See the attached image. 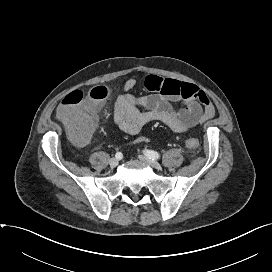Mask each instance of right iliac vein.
<instances>
[{"label":"right iliac vein","instance_id":"right-iliac-vein-1","mask_svg":"<svg viewBox=\"0 0 272 272\" xmlns=\"http://www.w3.org/2000/svg\"><path fill=\"white\" fill-rule=\"evenodd\" d=\"M118 163H119V160L117 158H111L109 161V165L112 168L116 167L118 165Z\"/></svg>","mask_w":272,"mask_h":272}]
</instances>
